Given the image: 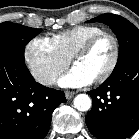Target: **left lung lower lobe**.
Wrapping results in <instances>:
<instances>
[{
    "label": "left lung lower lobe",
    "mask_w": 139,
    "mask_h": 139,
    "mask_svg": "<svg viewBox=\"0 0 139 139\" xmlns=\"http://www.w3.org/2000/svg\"><path fill=\"white\" fill-rule=\"evenodd\" d=\"M86 116L89 131L99 139H126L139 129V53L115 67L97 89Z\"/></svg>",
    "instance_id": "0a47b994"
}]
</instances>
